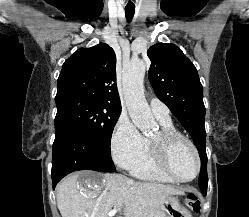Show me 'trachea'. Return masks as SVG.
<instances>
[{
	"label": "trachea",
	"mask_w": 249,
	"mask_h": 217,
	"mask_svg": "<svg viewBox=\"0 0 249 217\" xmlns=\"http://www.w3.org/2000/svg\"><path fill=\"white\" fill-rule=\"evenodd\" d=\"M135 13V6H127L125 7V15L128 22H130Z\"/></svg>",
	"instance_id": "3493384b"
}]
</instances>
